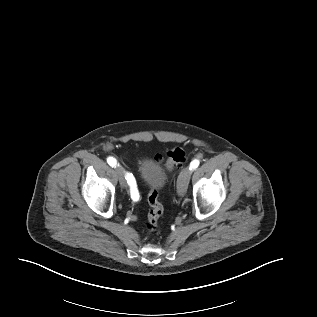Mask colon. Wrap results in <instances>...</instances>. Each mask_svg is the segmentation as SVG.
<instances>
[{
	"label": "colon",
	"mask_w": 317,
	"mask_h": 317,
	"mask_svg": "<svg viewBox=\"0 0 317 317\" xmlns=\"http://www.w3.org/2000/svg\"><path fill=\"white\" fill-rule=\"evenodd\" d=\"M185 161V152L179 148L171 149L164 162L165 168L168 171H174L177 167L182 165ZM149 212L145 228L147 233H152L158 226V221L163 213V206L159 201L158 193L154 190L148 192Z\"/></svg>",
	"instance_id": "colon-1"
}]
</instances>
